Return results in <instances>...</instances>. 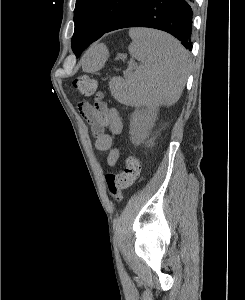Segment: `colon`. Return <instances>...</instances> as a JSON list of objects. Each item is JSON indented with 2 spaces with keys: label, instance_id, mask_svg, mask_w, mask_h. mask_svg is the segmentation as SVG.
Returning a JSON list of instances; mask_svg holds the SVG:
<instances>
[{
  "label": "colon",
  "instance_id": "1",
  "mask_svg": "<svg viewBox=\"0 0 245 300\" xmlns=\"http://www.w3.org/2000/svg\"><path fill=\"white\" fill-rule=\"evenodd\" d=\"M74 88L83 96L95 93L97 82L88 75H81L74 81ZM140 174V163L136 156L128 155L125 159L124 169L117 174L106 175L105 182L109 194L116 200H122V193L135 183Z\"/></svg>",
  "mask_w": 245,
  "mask_h": 300
}]
</instances>
